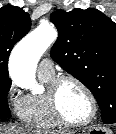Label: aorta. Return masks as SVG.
Returning <instances> with one entry per match:
<instances>
[{
    "instance_id": "762f6f07",
    "label": "aorta",
    "mask_w": 116,
    "mask_h": 134,
    "mask_svg": "<svg viewBox=\"0 0 116 134\" xmlns=\"http://www.w3.org/2000/svg\"><path fill=\"white\" fill-rule=\"evenodd\" d=\"M56 38V30L48 23H42L14 47L9 61V73L17 86L33 91L38 89L36 65Z\"/></svg>"
}]
</instances>
